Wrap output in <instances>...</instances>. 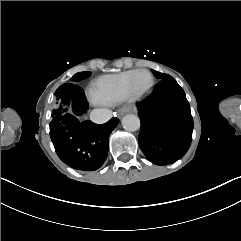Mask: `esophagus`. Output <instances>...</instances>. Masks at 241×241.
I'll return each mask as SVG.
<instances>
[{
    "mask_svg": "<svg viewBox=\"0 0 241 241\" xmlns=\"http://www.w3.org/2000/svg\"><path fill=\"white\" fill-rule=\"evenodd\" d=\"M133 110H134L133 106H125L118 111V116H122L126 113L133 112Z\"/></svg>",
    "mask_w": 241,
    "mask_h": 241,
    "instance_id": "obj_1",
    "label": "esophagus"
}]
</instances>
